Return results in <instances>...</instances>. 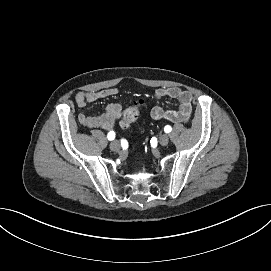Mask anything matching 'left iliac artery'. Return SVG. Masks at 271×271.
I'll return each mask as SVG.
<instances>
[{
    "label": "left iliac artery",
    "mask_w": 271,
    "mask_h": 271,
    "mask_svg": "<svg viewBox=\"0 0 271 271\" xmlns=\"http://www.w3.org/2000/svg\"><path fill=\"white\" fill-rule=\"evenodd\" d=\"M171 130H172V128H171V126H169V125H166L165 128H164V131H165L166 133L171 132Z\"/></svg>",
    "instance_id": "1"
}]
</instances>
